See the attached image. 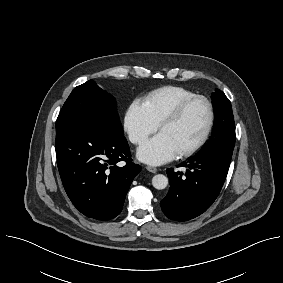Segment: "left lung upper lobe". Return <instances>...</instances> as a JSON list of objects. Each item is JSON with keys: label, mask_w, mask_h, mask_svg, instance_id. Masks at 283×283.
Listing matches in <instances>:
<instances>
[{"label": "left lung upper lobe", "mask_w": 283, "mask_h": 283, "mask_svg": "<svg viewBox=\"0 0 283 283\" xmlns=\"http://www.w3.org/2000/svg\"><path fill=\"white\" fill-rule=\"evenodd\" d=\"M215 122L212 136L198 153H217L231 159L235 145V123L229 99L219 89L212 93Z\"/></svg>", "instance_id": "left-lung-upper-lobe-1"}]
</instances>
